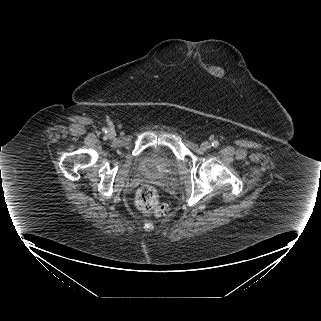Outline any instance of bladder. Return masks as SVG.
<instances>
[{"instance_id":"bladder-1","label":"bladder","mask_w":321,"mask_h":321,"mask_svg":"<svg viewBox=\"0 0 321 321\" xmlns=\"http://www.w3.org/2000/svg\"><path fill=\"white\" fill-rule=\"evenodd\" d=\"M174 165V161L168 153L160 154L157 150H153L142 158L140 170L152 177L166 178L171 175Z\"/></svg>"}]
</instances>
